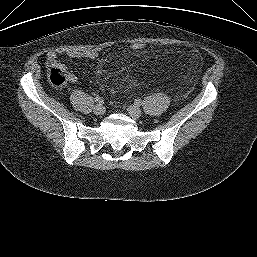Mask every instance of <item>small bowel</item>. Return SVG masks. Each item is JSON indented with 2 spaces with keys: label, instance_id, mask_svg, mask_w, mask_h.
Here are the masks:
<instances>
[{
  "label": "small bowel",
  "instance_id": "1",
  "mask_svg": "<svg viewBox=\"0 0 257 257\" xmlns=\"http://www.w3.org/2000/svg\"><path fill=\"white\" fill-rule=\"evenodd\" d=\"M59 53H63L66 56L70 58H88V59H95L98 57V52L94 50H85V51H80V50H50L47 53L46 60L48 64L56 62L57 55ZM124 69V67H122ZM68 80L69 81H74L75 76L72 74L68 75Z\"/></svg>",
  "mask_w": 257,
  "mask_h": 257
}]
</instances>
